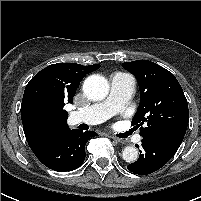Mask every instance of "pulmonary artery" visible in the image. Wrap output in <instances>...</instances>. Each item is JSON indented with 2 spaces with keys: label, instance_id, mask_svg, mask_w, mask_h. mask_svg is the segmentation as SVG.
I'll return each mask as SVG.
<instances>
[{
  "label": "pulmonary artery",
  "instance_id": "pulmonary-artery-1",
  "mask_svg": "<svg viewBox=\"0 0 201 201\" xmlns=\"http://www.w3.org/2000/svg\"><path fill=\"white\" fill-rule=\"evenodd\" d=\"M135 89L134 78L127 73H115L110 79V93L103 102L69 114L71 125L80 123L100 124L120 112L130 101ZM138 140L140 137L137 138Z\"/></svg>",
  "mask_w": 201,
  "mask_h": 201
}]
</instances>
